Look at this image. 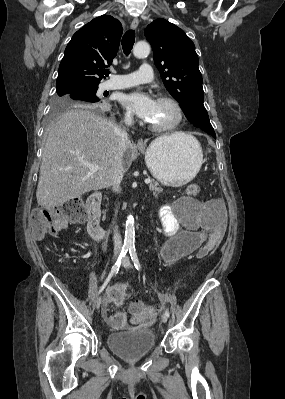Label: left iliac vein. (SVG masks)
I'll use <instances>...</instances> for the list:
<instances>
[{
	"label": "left iliac vein",
	"mask_w": 285,
	"mask_h": 399,
	"mask_svg": "<svg viewBox=\"0 0 285 399\" xmlns=\"http://www.w3.org/2000/svg\"><path fill=\"white\" fill-rule=\"evenodd\" d=\"M123 266L125 269H130L131 267V263L128 257L125 258V260L123 261ZM168 321V317L165 314L161 315V322L162 323H166Z\"/></svg>",
	"instance_id": "4c4485c4"
}]
</instances>
